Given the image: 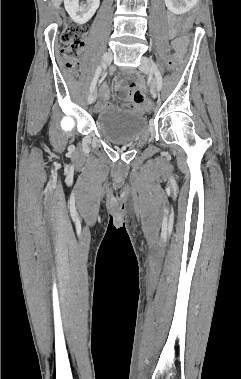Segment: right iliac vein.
Here are the masks:
<instances>
[{
  "mask_svg": "<svg viewBox=\"0 0 241 379\" xmlns=\"http://www.w3.org/2000/svg\"><path fill=\"white\" fill-rule=\"evenodd\" d=\"M112 53L110 51H107L103 54V57H102V60H103V63L105 65H108L111 61H112ZM96 96H97V93L96 91H93L90 93V95L88 96V103L89 104H92L95 102L96 100Z\"/></svg>",
  "mask_w": 241,
  "mask_h": 379,
  "instance_id": "obj_1",
  "label": "right iliac vein"
}]
</instances>
